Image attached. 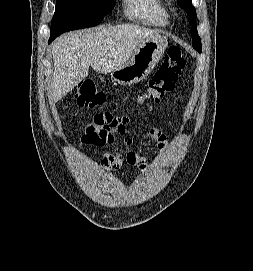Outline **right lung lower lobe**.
I'll use <instances>...</instances> for the list:
<instances>
[{
    "instance_id": "obj_1",
    "label": "right lung lower lobe",
    "mask_w": 253,
    "mask_h": 271,
    "mask_svg": "<svg viewBox=\"0 0 253 271\" xmlns=\"http://www.w3.org/2000/svg\"><path fill=\"white\" fill-rule=\"evenodd\" d=\"M54 39H55L54 37H50L49 43H50L52 40H54Z\"/></svg>"
}]
</instances>
